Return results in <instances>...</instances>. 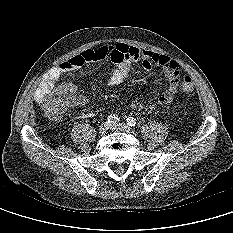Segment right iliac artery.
<instances>
[{"instance_id":"82829eb1","label":"right iliac artery","mask_w":233,"mask_h":233,"mask_svg":"<svg viewBox=\"0 0 233 233\" xmlns=\"http://www.w3.org/2000/svg\"><path fill=\"white\" fill-rule=\"evenodd\" d=\"M117 121H119V117L117 115H115V114H113V115L111 114L107 118L108 123H114V122H117Z\"/></svg>"}]
</instances>
